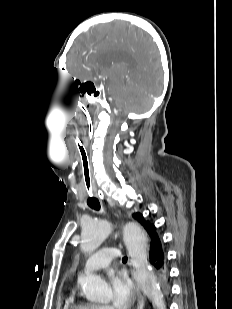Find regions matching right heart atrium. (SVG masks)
Wrapping results in <instances>:
<instances>
[{"label":"right heart atrium","mask_w":232,"mask_h":309,"mask_svg":"<svg viewBox=\"0 0 232 309\" xmlns=\"http://www.w3.org/2000/svg\"><path fill=\"white\" fill-rule=\"evenodd\" d=\"M98 309H111V308L107 305H99Z\"/></svg>","instance_id":"right-heart-atrium-1"}]
</instances>
